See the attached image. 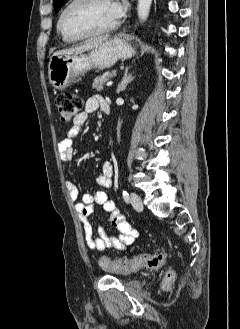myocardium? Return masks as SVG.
I'll list each match as a JSON object with an SVG mask.
<instances>
[{
	"mask_svg": "<svg viewBox=\"0 0 240 329\" xmlns=\"http://www.w3.org/2000/svg\"><path fill=\"white\" fill-rule=\"evenodd\" d=\"M92 0H72L61 12L60 17H59V23H58V27H59V31L60 33L63 35L64 38H66L69 41H78V40H82V39H86L89 37H94V36H99V35H103V34H107L110 33L112 31H114L115 29L118 28L120 22L117 20L115 23L101 28V29H97V30H92V31H88L79 35H75L70 33L66 26H65V21L66 18L68 16V14L77 6L79 5H83L86 3L91 2Z\"/></svg>",
	"mask_w": 240,
	"mask_h": 329,
	"instance_id": "obj_1",
	"label": "myocardium"
}]
</instances>
